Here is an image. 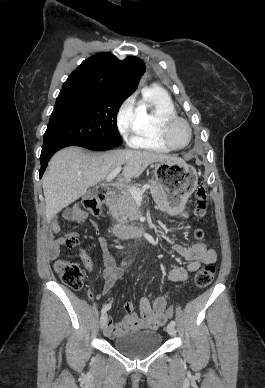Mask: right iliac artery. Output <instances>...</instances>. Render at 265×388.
<instances>
[{"label": "right iliac artery", "instance_id": "right-iliac-artery-1", "mask_svg": "<svg viewBox=\"0 0 265 388\" xmlns=\"http://www.w3.org/2000/svg\"><path fill=\"white\" fill-rule=\"evenodd\" d=\"M123 265H125V263H123ZM109 309H110V306H104L101 310L102 314L108 311Z\"/></svg>", "mask_w": 265, "mask_h": 388}]
</instances>
